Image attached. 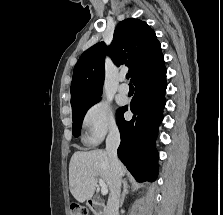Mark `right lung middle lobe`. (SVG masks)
Segmentation results:
<instances>
[{
  "label": "right lung middle lobe",
  "instance_id": "obj_1",
  "mask_svg": "<svg viewBox=\"0 0 223 215\" xmlns=\"http://www.w3.org/2000/svg\"><path fill=\"white\" fill-rule=\"evenodd\" d=\"M99 100H96L94 102L87 103V104H82V105L72 108V117H73L72 134L75 137L80 136V129H81L82 121H83L86 111L88 110L89 107L97 103ZM121 110L122 108H119L117 112V118L120 115Z\"/></svg>",
  "mask_w": 223,
  "mask_h": 215
}]
</instances>
